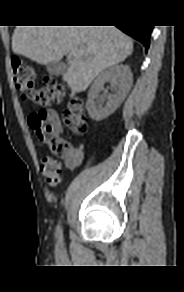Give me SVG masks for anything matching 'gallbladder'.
Masks as SVG:
<instances>
[{
	"label": "gallbladder",
	"mask_w": 184,
	"mask_h": 292,
	"mask_svg": "<svg viewBox=\"0 0 184 292\" xmlns=\"http://www.w3.org/2000/svg\"><path fill=\"white\" fill-rule=\"evenodd\" d=\"M46 69L51 75L59 76L65 72V64L60 61H53L46 65Z\"/></svg>",
	"instance_id": "1"
}]
</instances>
